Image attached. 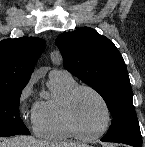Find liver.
I'll return each mask as SVG.
<instances>
[{
    "label": "liver",
    "instance_id": "liver-1",
    "mask_svg": "<svg viewBox=\"0 0 145 147\" xmlns=\"http://www.w3.org/2000/svg\"><path fill=\"white\" fill-rule=\"evenodd\" d=\"M0 147H88L75 142H48L29 136H16L0 142Z\"/></svg>",
    "mask_w": 145,
    "mask_h": 147
}]
</instances>
